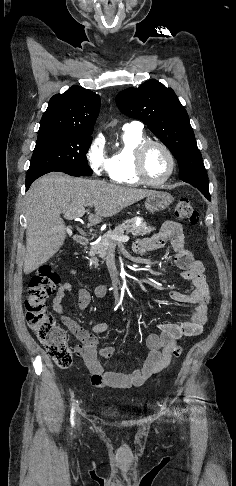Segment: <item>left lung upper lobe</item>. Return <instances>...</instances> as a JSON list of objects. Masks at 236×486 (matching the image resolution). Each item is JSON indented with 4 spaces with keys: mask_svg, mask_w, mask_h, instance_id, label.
I'll return each instance as SVG.
<instances>
[{
    "mask_svg": "<svg viewBox=\"0 0 236 486\" xmlns=\"http://www.w3.org/2000/svg\"><path fill=\"white\" fill-rule=\"evenodd\" d=\"M119 110L141 120L167 146L179 164V178L198 188L210 200L208 177L189 117L171 88L149 80L138 88L119 92Z\"/></svg>",
    "mask_w": 236,
    "mask_h": 486,
    "instance_id": "obj_1",
    "label": "left lung upper lobe"
}]
</instances>
